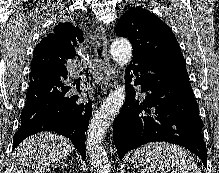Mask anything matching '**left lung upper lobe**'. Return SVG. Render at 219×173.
<instances>
[{
	"label": "left lung upper lobe",
	"instance_id": "left-lung-upper-lobe-1",
	"mask_svg": "<svg viewBox=\"0 0 219 173\" xmlns=\"http://www.w3.org/2000/svg\"><path fill=\"white\" fill-rule=\"evenodd\" d=\"M115 33L131 41L133 55L147 56L172 67L186 69L172 30L150 11L132 7L119 19Z\"/></svg>",
	"mask_w": 219,
	"mask_h": 173
}]
</instances>
